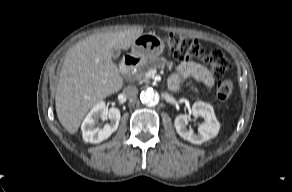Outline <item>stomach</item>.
I'll return each instance as SVG.
<instances>
[{"label":"stomach","mask_w":292,"mask_h":192,"mask_svg":"<svg viewBox=\"0 0 292 192\" xmlns=\"http://www.w3.org/2000/svg\"><path fill=\"white\" fill-rule=\"evenodd\" d=\"M163 40L152 33L143 34L132 44L131 55L143 61L157 58L164 50Z\"/></svg>","instance_id":"obj_1"}]
</instances>
